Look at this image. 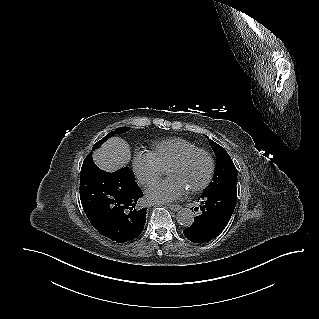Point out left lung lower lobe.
Listing matches in <instances>:
<instances>
[{
	"label": "left lung lower lobe",
	"mask_w": 319,
	"mask_h": 319,
	"mask_svg": "<svg viewBox=\"0 0 319 319\" xmlns=\"http://www.w3.org/2000/svg\"><path fill=\"white\" fill-rule=\"evenodd\" d=\"M237 200L236 186L203 193L199 198L200 215L183 231L185 237L194 243H204L217 237L228 224Z\"/></svg>",
	"instance_id": "1"
}]
</instances>
